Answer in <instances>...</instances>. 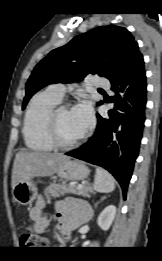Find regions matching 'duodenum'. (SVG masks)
<instances>
[{"instance_id": "410a0bca", "label": "duodenum", "mask_w": 162, "mask_h": 261, "mask_svg": "<svg viewBox=\"0 0 162 261\" xmlns=\"http://www.w3.org/2000/svg\"><path fill=\"white\" fill-rule=\"evenodd\" d=\"M60 230H61V232H62L63 235H67L68 232H69V230H68L67 228H65V227H64V228H61Z\"/></svg>"}]
</instances>
